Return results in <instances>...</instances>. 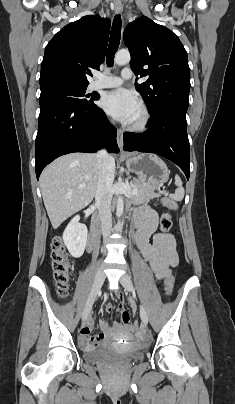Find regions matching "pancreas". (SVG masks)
<instances>
[{"label":"pancreas","instance_id":"obj_1","mask_svg":"<svg viewBox=\"0 0 235 404\" xmlns=\"http://www.w3.org/2000/svg\"><path fill=\"white\" fill-rule=\"evenodd\" d=\"M130 185L132 189H137V193L131 198V201L134 204L147 202L161 196L160 193H155L151 186L144 180L133 179Z\"/></svg>","mask_w":235,"mask_h":404}]
</instances>
